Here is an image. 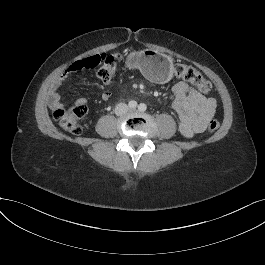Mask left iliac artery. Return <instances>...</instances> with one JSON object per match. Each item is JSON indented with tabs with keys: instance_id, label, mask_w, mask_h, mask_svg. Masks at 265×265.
Listing matches in <instances>:
<instances>
[{
	"instance_id": "44dca946",
	"label": "left iliac artery",
	"mask_w": 265,
	"mask_h": 265,
	"mask_svg": "<svg viewBox=\"0 0 265 265\" xmlns=\"http://www.w3.org/2000/svg\"><path fill=\"white\" fill-rule=\"evenodd\" d=\"M146 108H147V106H146L144 103H141V104L138 106L139 111H142V112L145 111Z\"/></svg>"
}]
</instances>
